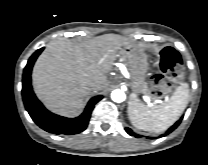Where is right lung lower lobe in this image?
<instances>
[{
	"label": "right lung lower lobe",
	"mask_w": 208,
	"mask_h": 165,
	"mask_svg": "<svg viewBox=\"0 0 208 165\" xmlns=\"http://www.w3.org/2000/svg\"><path fill=\"white\" fill-rule=\"evenodd\" d=\"M44 48L37 50L28 60L23 71L22 97L26 110L33 121L42 129L50 133L72 135L86 129L94 105L102 96L93 97L85 111L77 118H66L49 112L36 98L31 85V71L39 54Z\"/></svg>",
	"instance_id": "1"
}]
</instances>
